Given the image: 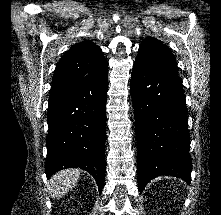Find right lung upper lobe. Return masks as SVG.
Here are the masks:
<instances>
[{"mask_svg":"<svg viewBox=\"0 0 221 215\" xmlns=\"http://www.w3.org/2000/svg\"><path fill=\"white\" fill-rule=\"evenodd\" d=\"M106 71L108 63L96 44L88 40L75 44L57 64L50 96L76 88Z\"/></svg>","mask_w":221,"mask_h":215,"instance_id":"1","label":"right lung upper lobe"}]
</instances>
